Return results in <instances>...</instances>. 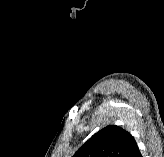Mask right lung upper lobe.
Segmentation results:
<instances>
[{
	"label": "right lung upper lobe",
	"mask_w": 164,
	"mask_h": 157,
	"mask_svg": "<svg viewBox=\"0 0 164 157\" xmlns=\"http://www.w3.org/2000/svg\"><path fill=\"white\" fill-rule=\"evenodd\" d=\"M136 146L129 132L109 125L94 134L72 157H129Z\"/></svg>",
	"instance_id": "cb5924a9"
}]
</instances>
